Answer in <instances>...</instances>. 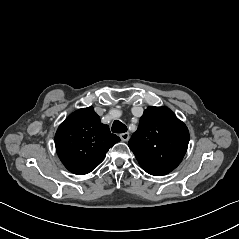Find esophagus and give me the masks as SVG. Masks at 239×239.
I'll return each mask as SVG.
<instances>
[{"mask_svg": "<svg viewBox=\"0 0 239 239\" xmlns=\"http://www.w3.org/2000/svg\"><path fill=\"white\" fill-rule=\"evenodd\" d=\"M119 137L121 138L122 141H128L130 138V134L129 132L121 133Z\"/></svg>", "mask_w": 239, "mask_h": 239, "instance_id": "1", "label": "esophagus"}]
</instances>
